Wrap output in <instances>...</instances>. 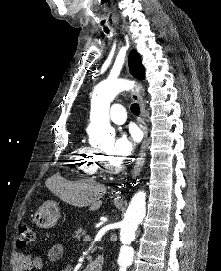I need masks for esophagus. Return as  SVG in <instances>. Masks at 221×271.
Here are the masks:
<instances>
[{"label":"esophagus","mask_w":221,"mask_h":271,"mask_svg":"<svg viewBox=\"0 0 221 271\" xmlns=\"http://www.w3.org/2000/svg\"><path fill=\"white\" fill-rule=\"evenodd\" d=\"M132 98L134 101H136L140 105L141 113H140V118H139V126L141 127L144 133L140 153L132 172V176H138L145 163L148 128L145 122V104H144L142 95L140 93H133Z\"/></svg>","instance_id":"obj_1"}]
</instances>
